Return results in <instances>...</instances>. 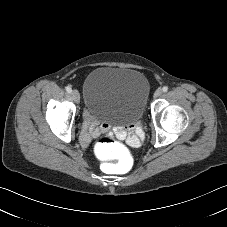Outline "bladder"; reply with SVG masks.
Segmentation results:
<instances>
[{"label":"bladder","mask_w":227,"mask_h":227,"mask_svg":"<svg viewBox=\"0 0 227 227\" xmlns=\"http://www.w3.org/2000/svg\"><path fill=\"white\" fill-rule=\"evenodd\" d=\"M149 85L137 70L103 66L84 83V101L92 115L103 121L129 123L144 112Z\"/></svg>","instance_id":"31cf9c89"}]
</instances>
